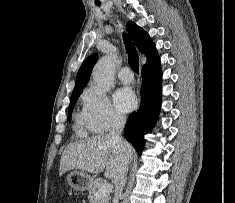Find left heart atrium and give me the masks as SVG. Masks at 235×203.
<instances>
[{"instance_id":"left-heart-atrium-1","label":"left heart atrium","mask_w":235,"mask_h":203,"mask_svg":"<svg viewBox=\"0 0 235 203\" xmlns=\"http://www.w3.org/2000/svg\"><path fill=\"white\" fill-rule=\"evenodd\" d=\"M114 102L121 112H129L136 106V97L129 88L118 89L114 94Z\"/></svg>"}]
</instances>
